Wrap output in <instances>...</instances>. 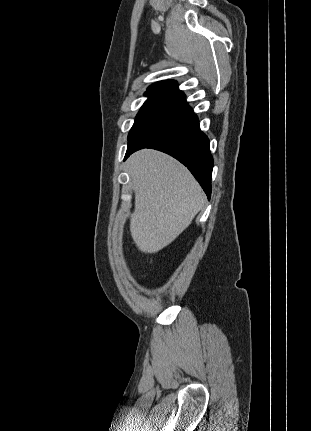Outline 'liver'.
I'll return each instance as SVG.
<instances>
[{"label":"liver","mask_w":311,"mask_h":431,"mask_svg":"<svg viewBox=\"0 0 311 431\" xmlns=\"http://www.w3.org/2000/svg\"><path fill=\"white\" fill-rule=\"evenodd\" d=\"M127 162L135 192L130 233L140 251L156 253L190 225L204 194L189 170L167 154L140 150Z\"/></svg>","instance_id":"1"}]
</instances>
